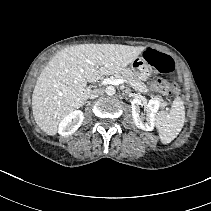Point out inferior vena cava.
I'll return each mask as SVG.
<instances>
[{"label": "inferior vena cava", "instance_id": "inferior-vena-cava-1", "mask_svg": "<svg viewBox=\"0 0 211 211\" xmlns=\"http://www.w3.org/2000/svg\"><path fill=\"white\" fill-rule=\"evenodd\" d=\"M103 93H104V90L101 89V88H99V89H94V90H92V92H91L89 98H97V97L103 95Z\"/></svg>", "mask_w": 211, "mask_h": 211}]
</instances>
